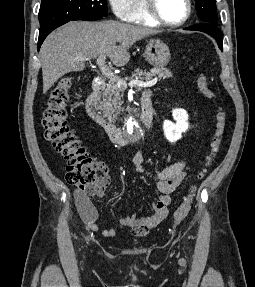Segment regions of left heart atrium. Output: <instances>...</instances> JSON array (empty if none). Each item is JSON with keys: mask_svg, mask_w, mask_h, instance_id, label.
<instances>
[{"mask_svg": "<svg viewBox=\"0 0 255 287\" xmlns=\"http://www.w3.org/2000/svg\"><path fill=\"white\" fill-rule=\"evenodd\" d=\"M114 33H124V32H114ZM115 39H130V38H115ZM130 48V47H127Z\"/></svg>", "mask_w": 255, "mask_h": 287, "instance_id": "left-heart-atrium-1", "label": "left heart atrium"}]
</instances>
